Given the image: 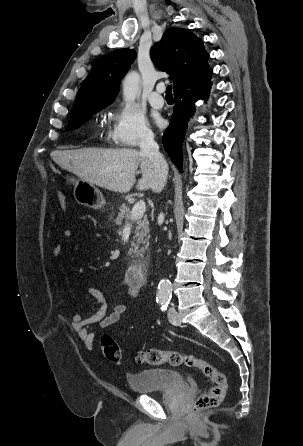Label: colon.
<instances>
[{
  "label": "colon",
  "mask_w": 303,
  "mask_h": 446,
  "mask_svg": "<svg viewBox=\"0 0 303 446\" xmlns=\"http://www.w3.org/2000/svg\"><path fill=\"white\" fill-rule=\"evenodd\" d=\"M59 203L61 208L65 211L67 209L66 198L59 194ZM101 349L106 358L114 363H120L122 353L118 342L110 335L104 334L100 339ZM135 360L138 363L148 365L170 364L172 366L185 365L189 368L200 370L207 378L212 381L210 389L199 396L197 399L193 412L214 407L224 401L228 384L226 376L223 372L218 370L211 363L200 359L192 354L180 353L177 351H162L156 348H149L138 351L135 354Z\"/></svg>",
  "instance_id": "5ec220e1"
}]
</instances>
